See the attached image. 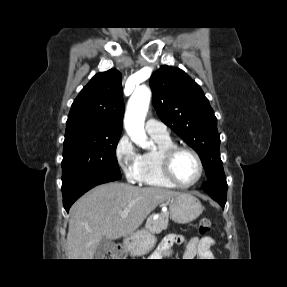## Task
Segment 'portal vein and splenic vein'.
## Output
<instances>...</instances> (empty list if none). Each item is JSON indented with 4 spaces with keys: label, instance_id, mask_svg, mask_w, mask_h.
<instances>
[{
    "label": "portal vein and splenic vein",
    "instance_id": "portal-vein-and-splenic-vein-1",
    "mask_svg": "<svg viewBox=\"0 0 287 287\" xmlns=\"http://www.w3.org/2000/svg\"><path fill=\"white\" fill-rule=\"evenodd\" d=\"M129 214V209H124L122 212H121V217H127Z\"/></svg>",
    "mask_w": 287,
    "mask_h": 287
}]
</instances>
